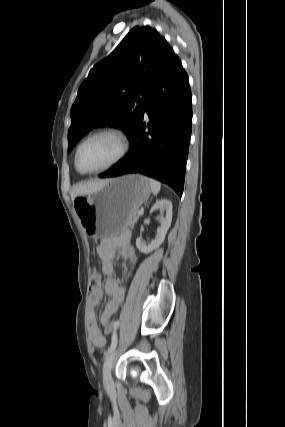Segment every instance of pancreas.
I'll list each match as a JSON object with an SVG mask.
<instances>
[{
    "label": "pancreas",
    "mask_w": 285,
    "mask_h": 427,
    "mask_svg": "<svg viewBox=\"0 0 285 427\" xmlns=\"http://www.w3.org/2000/svg\"><path fill=\"white\" fill-rule=\"evenodd\" d=\"M139 215L136 213H134L130 220H129V226H132L137 220H138Z\"/></svg>",
    "instance_id": "pancreas-1"
}]
</instances>
